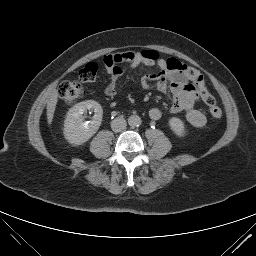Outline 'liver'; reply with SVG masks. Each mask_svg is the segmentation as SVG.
<instances>
[{"mask_svg":"<svg viewBox=\"0 0 256 256\" xmlns=\"http://www.w3.org/2000/svg\"><path fill=\"white\" fill-rule=\"evenodd\" d=\"M57 98H58V92L54 90L51 93L50 99L47 103V122L49 125L52 123V120H53L56 104L58 102Z\"/></svg>","mask_w":256,"mask_h":256,"instance_id":"1","label":"liver"}]
</instances>
